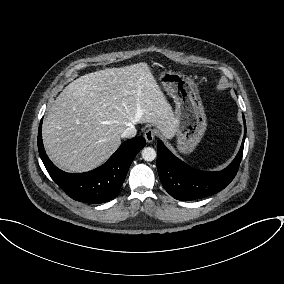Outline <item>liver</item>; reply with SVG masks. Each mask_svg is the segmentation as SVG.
<instances>
[{
	"instance_id": "1",
	"label": "liver",
	"mask_w": 284,
	"mask_h": 284,
	"mask_svg": "<svg viewBox=\"0 0 284 284\" xmlns=\"http://www.w3.org/2000/svg\"><path fill=\"white\" fill-rule=\"evenodd\" d=\"M152 123L172 138L174 113L149 66L138 63L85 74L67 85L50 106L42 136L61 169L82 173L103 164L130 125Z\"/></svg>"
}]
</instances>
